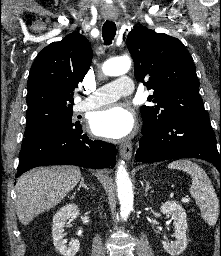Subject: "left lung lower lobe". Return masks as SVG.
Listing matches in <instances>:
<instances>
[{
	"label": "left lung lower lobe",
	"instance_id": "left-lung-lower-lobe-1",
	"mask_svg": "<svg viewBox=\"0 0 221 256\" xmlns=\"http://www.w3.org/2000/svg\"><path fill=\"white\" fill-rule=\"evenodd\" d=\"M136 160L142 163L178 158H200L221 174V150H217L209 115L176 117L163 125L144 123Z\"/></svg>",
	"mask_w": 221,
	"mask_h": 256
}]
</instances>
